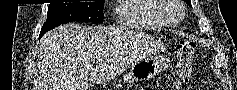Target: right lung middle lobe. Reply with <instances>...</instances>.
I'll list each match as a JSON object with an SVG mask.
<instances>
[{
    "label": "right lung middle lobe",
    "mask_w": 237,
    "mask_h": 90,
    "mask_svg": "<svg viewBox=\"0 0 237 90\" xmlns=\"http://www.w3.org/2000/svg\"><path fill=\"white\" fill-rule=\"evenodd\" d=\"M104 0L95 2L59 3L50 4L47 20L43 24L40 37L47 31L67 22L81 21L101 23L103 22Z\"/></svg>",
    "instance_id": "right-lung-middle-lobe-1"
}]
</instances>
